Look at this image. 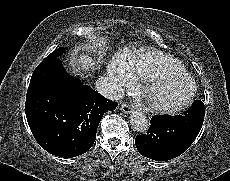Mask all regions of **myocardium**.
<instances>
[{
	"mask_svg": "<svg viewBox=\"0 0 230 181\" xmlns=\"http://www.w3.org/2000/svg\"><path fill=\"white\" fill-rule=\"evenodd\" d=\"M172 78H183L189 82L190 89L185 97L175 104H162L154 101L152 98L154 88L165 80ZM134 91L139 93L145 99L148 107L153 112L158 114H176L187 108L192 102L197 91V85L194 78L185 69H183L177 72H159L142 82L138 88L134 89Z\"/></svg>",
	"mask_w": 230,
	"mask_h": 181,
	"instance_id": "1",
	"label": "myocardium"
}]
</instances>
